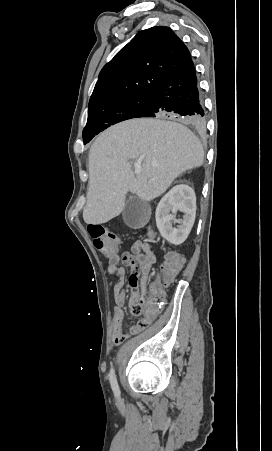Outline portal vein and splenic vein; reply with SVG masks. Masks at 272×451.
Masks as SVG:
<instances>
[{
    "mask_svg": "<svg viewBox=\"0 0 272 451\" xmlns=\"http://www.w3.org/2000/svg\"><path fill=\"white\" fill-rule=\"evenodd\" d=\"M134 174H136V176H139V174H141L140 170H135Z\"/></svg>",
    "mask_w": 272,
    "mask_h": 451,
    "instance_id": "obj_1",
    "label": "portal vein and splenic vein"
}]
</instances>
